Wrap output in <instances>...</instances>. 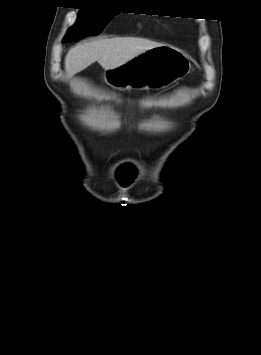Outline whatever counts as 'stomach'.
<instances>
[{
    "label": "stomach",
    "instance_id": "stomach-1",
    "mask_svg": "<svg viewBox=\"0 0 261 355\" xmlns=\"http://www.w3.org/2000/svg\"><path fill=\"white\" fill-rule=\"evenodd\" d=\"M189 58L178 49L161 45L113 69L105 70L104 81L113 88L160 89L191 71Z\"/></svg>",
    "mask_w": 261,
    "mask_h": 355
}]
</instances>
